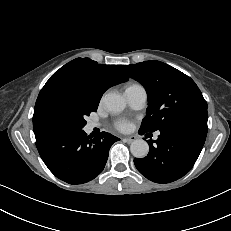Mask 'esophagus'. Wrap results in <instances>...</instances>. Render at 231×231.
<instances>
[{"label": "esophagus", "mask_w": 231, "mask_h": 231, "mask_svg": "<svg viewBox=\"0 0 231 231\" xmlns=\"http://www.w3.org/2000/svg\"><path fill=\"white\" fill-rule=\"evenodd\" d=\"M137 139L136 136H128V137H125L124 140L128 143H131L133 141H135Z\"/></svg>", "instance_id": "34e87169"}]
</instances>
